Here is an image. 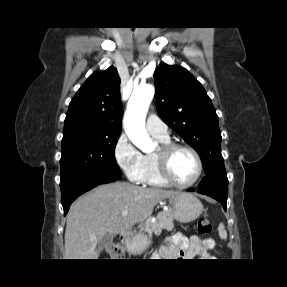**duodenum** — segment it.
I'll return each instance as SVG.
<instances>
[{"mask_svg": "<svg viewBox=\"0 0 287 287\" xmlns=\"http://www.w3.org/2000/svg\"><path fill=\"white\" fill-rule=\"evenodd\" d=\"M122 241H123L124 246L129 248V244H130V241H131L130 233L123 234Z\"/></svg>", "mask_w": 287, "mask_h": 287, "instance_id": "410a0bca", "label": "duodenum"}]
</instances>
